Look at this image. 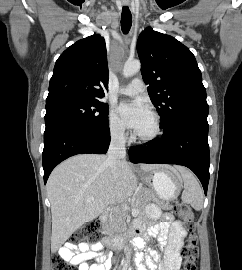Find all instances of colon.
Wrapping results in <instances>:
<instances>
[{
	"label": "colon",
	"mask_w": 242,
	"mask_h": 270,
	"mask_svg": "<svg viewBox=\"0 0 242 270\" xmlns=\"http://www.w3.org/2000/svg\"><path fill=\"white\" fill-rule=\"evenodd\" d=\"M176 216L185 223L187 228V236L184 246L181 249V255L184 259L183 270H196V261L198 259L199 250L197 246V236L194 232L193 218L194 213L190 205L179 203L174 208ZM103 232L102 222L99 220H91L82 228L74 232L69 240L70 244L80 245L87 241L98 239ZM53 270H77V267L70 264L60 251L52 258Z\"/></svg>",
	"instance_id": "5ec220e1"
}]
</instances>
